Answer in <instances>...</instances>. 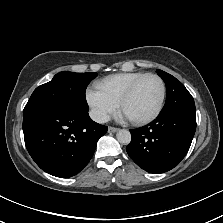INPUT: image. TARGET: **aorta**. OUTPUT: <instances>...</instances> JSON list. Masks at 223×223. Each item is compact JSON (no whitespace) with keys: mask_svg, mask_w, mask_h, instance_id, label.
<instances>
[{"mask_svg":"<svg viewBox=\"0 0 223 223\" xmlns=\"http://www.w3.org/2000/svg\"><path fill=\"white\" fill-rule=\"evenodd\" d=\"M118 142L122 144H129L131 141V134L128 130L121 129L116 134Z\"/></svg>","mask_w":223,"mask_h":223,"instance_id":"762f6f07","label":"aorta"}]
</instances>
